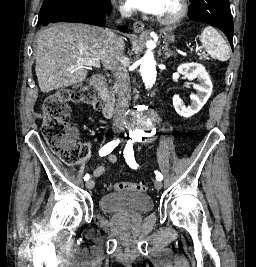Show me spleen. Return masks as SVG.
<instances>
[{
	"label": "spleen",
	"mask_w": 256,
	"mask_h": 267,
	"mask_svg": "<svg viewBox=\"0 0 256 267\" xmlns=\"http://www.w3.org/2000/svg\"><path fill=\"white\" fill-rule=\"evenodd\" d=\"M199 40L210 58L220 60V62H227L229 60L230 48H228L224 38L215 28H211V26L204 28L201 36H199Z\"/></svg>",
	"instance_id": "1"
}]
</instances>
